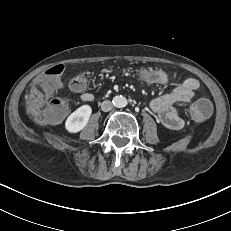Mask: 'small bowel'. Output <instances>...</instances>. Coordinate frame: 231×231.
<instances>
[{"mask_svg":"<svg viewBox=\"0 0 231 231\" xmlns=\"http://www.w3.org/2000/svg\"><path fill=\"white\" fill-rule=\"evenodd\" d=\"M198 88L199 82L194 78H189L171 92L152 100L149 105L150 110L164 127L178 130L183 127L184 121L177 111L176 104L192 102ZM77 93L84 102L94 101V95L91 93L83 91H77Z\"/></svg>","mask_w":231,"mask_h":231,"instance_id":"obj_1","label":"small bowel"}]
</instances>
